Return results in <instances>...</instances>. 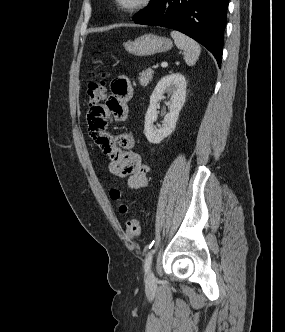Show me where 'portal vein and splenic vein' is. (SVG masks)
<instances>
[{"instance_id": "18ae733b", "label": "portal vein and splenic vein", "mask_w": 285, "mask_h": 332, "mask_svg": "<svg viewBox=\"0 0 285 332\" xmlns=\"http://www.w3.org/2000/svg\"><path fill=\"white\" fill-rule=\"evenodd\" d=\"M167 65H168L167 62H162V63H161V66H162V67H167Z\"/></svg>"}]
</instances>
